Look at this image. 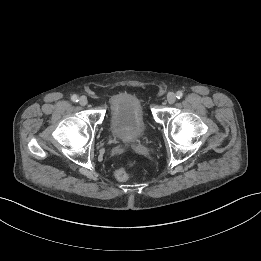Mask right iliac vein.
<instances>
[{
	"instance_id": "1",
	"label": "right iliac vein",
	"mask_w": 261,
	"mask_h": 261,
	"mask_svg": "<svg viewBox=\"0 0 261 261\" xmlns=\"http://www.w3.org/2000/svg\"><path fill=\"white\" fill-rule=\"evenodd\" d=\"M79 104H80L81 106L87 105V104H88V99H87L85 96H81V97L79 98Z\"/></svg>"
}]
</instances>
